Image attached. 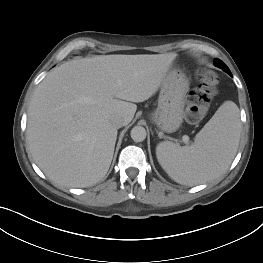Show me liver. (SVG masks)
Returning a JSON list of instances; mask_svg holds the SVG:
<instances>
[{
    "mask_svg": "<svg viewBox=\"0 0 263 263\" xmlns=\"http://www.w3.org/2000/svg\"><path fill=\"white\" fill-rule=\"evenodd\" d=\"M177 54L100 55L68 61L37 86L28 109L34 161L54 183L92 186L107 174L117 139L112 119L129 124L135 103L152 97Z\"/></svg>",
    "mask_w": 263,
    "mask_h": 263,
    "instance_id": "6515ba94",
    "label": "liver"
}]
</instances>
